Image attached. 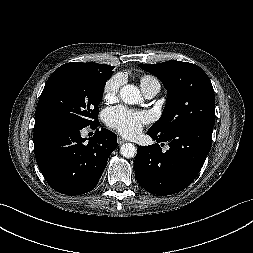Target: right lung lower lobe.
Instances as JSON below:
<instances>
[{"label": "right lung lower lobe", "mask_w": 253, "mask_h": 253, "mask_svg": "<svg viewBox=\"0 0 253 253\" xmlns=\"http://www.w3.org/2000/svg\"><path fill=\"white\" fill-rule=\"evenodd\" d=\"M98 125L97 121L90 127ZM81 129L63 123L34 127L37 164L47 183L59 193L80 195L94 189L117 147V136L110 130L97 129L86 142Z\"/></svg>", "instance_id": "right-lung-lower-lobe-1"}]
</instances>
